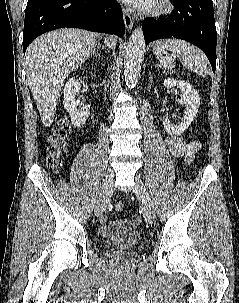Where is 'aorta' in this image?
Segmentation results:
<instances>
[{"label":"aorta","mask_w":239,"mask_h":303,"mask_svg":"<svg viewBox=\"0 0 239 303\" xmlns=\"http://www.w3.org/2000/svg\"><path fill=\"white\" fill-rule=\"evenodd\" d=\"M145 51V40L141 28H136L129 39L124 58V76L128 87H135L138 82Z\"/></svg>","instance_id":"obj_1"}]
</instances>
